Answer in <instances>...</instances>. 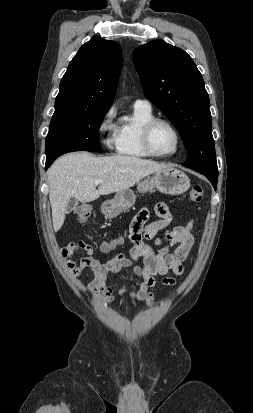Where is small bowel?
<instances>
[{
  "label": "small bowel",
  "instance_id": "1",
  "mask_svg": "<svg viewBox=\"0 0 253 413\" xmlns=\"http://www.w3.org/2000/svg\"><path fill=\"white\" fill-rule=\"evenodd\" d=\"M154 211L158 216L156 221L147 223V208H143L132 220L129 233L133 246L128 256L118 253L106 262H101L94 257L93 248L85 241L72 242L61 248L60 257L70 275L78 277L86 268L93 271L94 279L90 282L89 289L100 302L113 301L108 278L124 269H131L142 282L136 292L122 287L119 290L120 297L131 303L145 301L147 305L154 303L155 294L148 290L155 286L157 278H162L163 285L171 286L176 283V278L167 274L171 272L178 276L183 273V264L193 245V220L184 226L167 229L162 237H158V233L170 225L172 214L168 206L162 202L155 205ZM145 239L154 240L157 248L146 243ZM169 245H176L173 253L169 252ZM78 251L83 252L84 256L76 258L74 254Z\"/></svg>",
  "mask_w": 253,
  "mask_h": 413
}]
</instances>
